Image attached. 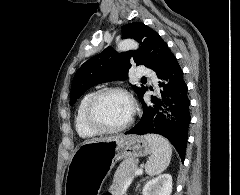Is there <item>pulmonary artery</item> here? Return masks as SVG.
Returning a JSON list of instances; mask_svg holds the SVG:
<instances>
[{
	"mask_svg": "<svg viewBox=\"0 0 240 195\" xmlns=\"http://www.w3.org/2000/svg\"><path fill=\"white\" fill-rule=\"evenodd\" d=\"M136 70L140 71H134V76H148L149 75V70L145 69L143 65H136ZM153 80H155L153 78Z\"/></svg>",
	"mask_w": 240,
	"mask_h": 195,
	"instance_id": "1",
	"label": "pulmonary artery"
}]
</instances>
